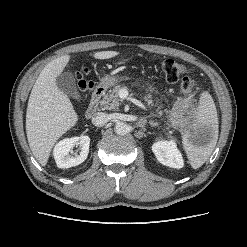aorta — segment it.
I'll use <instances>...</instances> for the list:
<instances>
[{"mask_svg":"<svg viewBox=\"0 0 247 247\" xmlns=\"http://www.w3.org/2000/svg\"><path fill=\"white\" fill-rule=\"evenodd\" d=\"M114 129H115V133L121 136L128 134L130 131L129 126L126 123L121 122V121L116 123Z\"/></svg>","mask_w":247,"mask_h":247,"instance_id":"1","label":"aorta"}]
</instances>
